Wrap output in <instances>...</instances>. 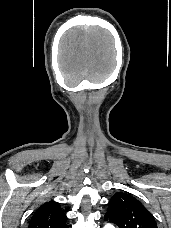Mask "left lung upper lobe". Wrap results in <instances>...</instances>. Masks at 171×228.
Here are the masks:
<instances>
[{
	"label": "left lung upper lobe",
	"mask_w": 171,
	"mask_h": 228,
	"mask_svg": "<svg viewBox=\"0 0 171 228\" xmlns=\"http://www.w3.org/2000/svg\"><path fill=\"white\" fill-rule=\"evenodd\" d=\"M108 205L105 220L119 228H157L153 215L129 193L114 194Z\"/></svg>",
	"instance_id": "5c2ea615"
}]
</instances>
